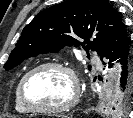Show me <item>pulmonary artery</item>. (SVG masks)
<instances>
[{
    "mask_svg": "<svg viewBox=\"0 0 133 118\" xmlns=\"http://www.w3.org/2000/svg\"><path fill=\"white\" fill-rule=\"evenodd\" d=\"M93 61H94L96 64H98L99 67L102 66V65H101V61H100V58H99L98 56H94V57H93Z\"/></svg>",
    "mask_w": 133,
    "mask_h": 118,
    "instance_id": "e3ab8cb5",
    "label": "pulmonary artery"
}]
</instances>
